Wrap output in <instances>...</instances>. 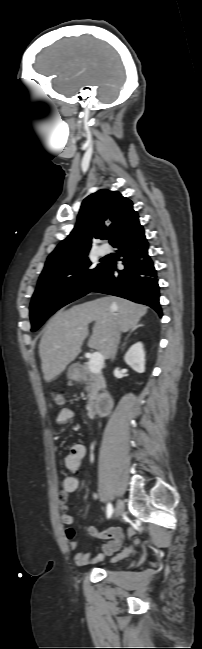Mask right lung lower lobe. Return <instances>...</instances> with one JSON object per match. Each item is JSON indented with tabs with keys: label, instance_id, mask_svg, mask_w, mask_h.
<instances>
[{
	"label": "right lung lower lobe",
	"instance_id": "right-lung-lower-lobe-1",
	"mask_svg": "<svg viewBox=\"0 0 202 649\" xmlns=\"http://www.w3.org/2000/svg\"><path fill=\"white\" fill-rule=\"evenodd\" d=\"M118 248L125 269L118 270L116 261L106 260L90 291L129 299L153 308L161 317L157 271L148 255V242L141 229L120 239L113 245Z\"/></svg>",
	"mask_w": 202,
	"mask_h": 649
}]
</instances>
